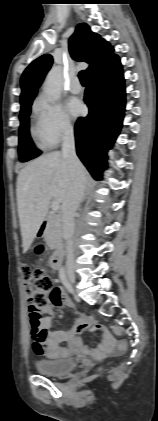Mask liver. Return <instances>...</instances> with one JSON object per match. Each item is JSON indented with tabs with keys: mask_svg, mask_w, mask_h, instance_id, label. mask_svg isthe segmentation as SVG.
I'll return each mask as SVG.
<instances>
[{
	"mask_svg": "<svg viewBox=\"0 0 158 421\" xmlns=\"http://www.w3.org/2000/svg\"><path fill=\"white\" fill-rule=\"evenodd\" d=\"M69 184L67 158L57 151L36 158L19 172L16 191L24 252L36 237L51 200L63 203Z\"/></svg>",
	"mask_w": 158,
	"mask_h": 421,
	"instance_id": "liver-1",
	"label": "liver"
}]
</instances>
